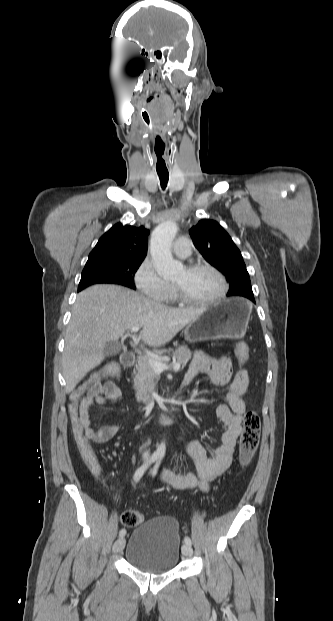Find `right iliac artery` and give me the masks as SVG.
Segmentation results:
<instances>
[{
  "label": "right iliac artery",
  "mask_w": 333,
  "mask_h": 621,
  "mask_svg": "<svg viewBox=\"0 0 333 621\" xmlns=\"http://www.w3.org/2000/svg\"><path fill=\"white\" fill-rule=\"evenodd\" d=\"M159 458V455L154 453L151 458L142 466H140L134 473L133 479L135 482H138L140 480V478L143 476V474L145 473V471L150 467V465H152L157 459ZM126 535V530L125 529H121L119 532V536L120 537H124Z\"/></svg>",
  "instance_id": "82829eb1"
}]
</instances>
